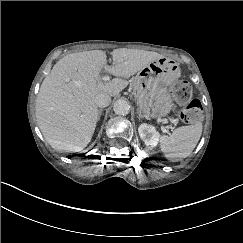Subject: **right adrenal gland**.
Masks as SVG:
<instances>
[{
  "label": "right adrenal gland",
  "mask_w": 243,
  "mask_h": 243,
  "mask_svg": "<svg viewBox=\"0 0 243 243\" xmlns=\"http://www.w3.org/2000/svg\"><path fill=\"white\" fill-rule=\"evenodd\" d=\"M103 114V111H102V109L99 111V119H98V121L100 120V117H101V115Z\"/></svg>",
  "instance_id": "2a0ac1e0"
}]
</instances>
